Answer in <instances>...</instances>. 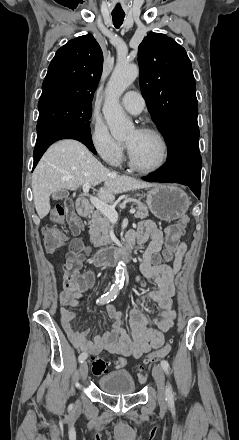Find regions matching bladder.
Listing matches in <instances>:
<instances>
[{"instance_id":"bladder-1","label":"bladder","mask_w":239,"mask_h":440,"mask_svg":"<svg viewBox=\"0 0 239 440\" xmlns=\"http://www.w3.org/2000/svg\"><path fill=\"white\" fill-rule=\"evenodd\" d=\"M98 386L110 395H128L136 391L135 381L127 371H113L100 377Z\"/></svg>"}]
</instances>
